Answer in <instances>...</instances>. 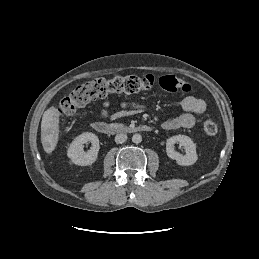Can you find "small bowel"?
<instances>
[{"instance_id": "obj_1", "label": "small bowel", "mask_w": 259, "mask_h": 259, "mask_svg": "<svg viewBox=\"0 0 259 259\" xmlns=\"http://www.w3.org/2000/svg\"><path fill=\"white\" fill-rule=\"evenodd\" d=\"M180 105L183 113L164 121L162 124L164 130L170 131L180 128H191L195 124L196 117L202 115L206 110L205 102L202 99L191 95L182 98ZM108 106L109 103L107 101L103 103L99 113L96 115L98 120H116L136 114L141 110V107L137 104L121 102L122 109L109 115Z\"/></svg>"}]
</instances>
